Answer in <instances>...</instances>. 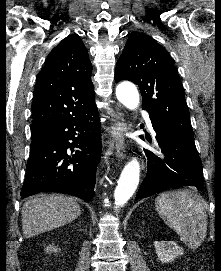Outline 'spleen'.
Listing matches in <instances>:
<instances>
[{
  "mask_svg": "<svg viewBox=\"0 0 221 271\" xmlns=\"http://www.w3.org/2000/svg\"><path fill=\"white\" fill-rule=\"evenodd\" d=\"M155 207L187 247L197 249L205 241L208 217L200 195L192 191H163L159 193Z\"/></svg>",
  "mask_w": 221,
  "mask_h": 271,
  "instance_id": "1",
  "label": "spleen"
}]
</instances>
